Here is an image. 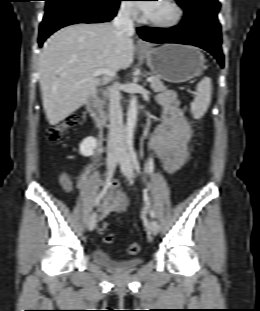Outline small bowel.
Instances as JSON below:
<instances>
[{"instance_id": "1", "label": "small bowel", "mask_w": 260, "mask_h": 311, "mask_svg": "<svg viewBox=\"0 0 260 311\" xmlns=\"http://www.w3.org/2000/svg\"><path fill=\"white\" fill-rule=\"evenodd\" d=\"M158 103L162 107V118L151 138V147L160 159L164 170L172 174L186 162L189 154L188 143L193 132L173 91L162 93ZM58 180L66 192L72 190L71 179L65 172L58 176ZM85 180V176L82 175L79 184L83 185ZM119 187L118 181L111 183L109 192L101 204L100 218L106 217L110 212L125 211L127 199Z\"/></svg>"}]
</instances>
